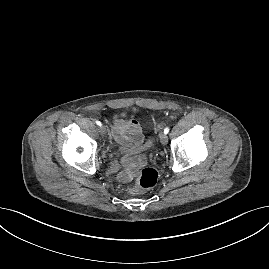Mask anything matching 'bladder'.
<instances>
[{
    "mask_svg": "<svg viewBox=\"0 0 269 269\" xmlns=\"http://www.w3.org/2000/svg\"><path fill=\"white\" fill-rule=\"evenodd\" d=\"M153 146V139L150 137L148 138L145 143L142 145L143 149H151Z\"/></svg>",
    "mask_w": 269,
    "mask_h": 269,
    "instance_id": "1",
    "label": "bladder"
}]
</instances>
